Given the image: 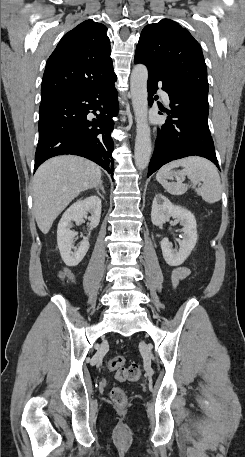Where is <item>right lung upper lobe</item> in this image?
<instances>
[{
  "label": "right lung upper lobe",
  "instance_id": "1",
  "mask_svg": "<svg viewBox=\"0 0 245 457\" xmlns=\"http://www.w3.org/2000/svg\"><path fill=\"white\" fill-rule=\"evenodd\" d=\"M106 31L105 25L90 19L63 36L47 61L41 102L116 76Z\"/></svg>",
  "mask_w": 245,
  "mask_h": 457
}]
</instances>
